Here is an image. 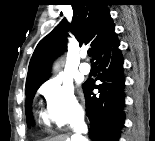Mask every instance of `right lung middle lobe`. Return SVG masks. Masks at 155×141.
I'll use <instances>...</instances> for the list:
<instances>
[{
	"label": "right lung middle lobe",
	"mask_w": 155,
	"mask_h": 141,
	"mask_svg": "<svg viewBox=\"0 0 155 141\" xmlns=\"http://www.w3.org/2000/svg\"><path fill=\"white\" fill-rule=\"evenodd\" d=\"M45 81L46 80H44L42 82H39V83H36V84L26 88L25 108H26V121H27V125L33 124V118H32V114H31V103H32L33 97H34L37 89Z\"/></svg>",
	"instance_id": "1"
}]
</instances>
